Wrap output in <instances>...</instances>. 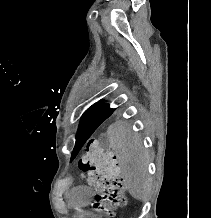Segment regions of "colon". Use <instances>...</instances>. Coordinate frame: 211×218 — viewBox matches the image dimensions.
Returning a JSON list of instances; mask_svg holds the SVG:
<instances>
[{
    "label": "colon",
    "mask_w": 211,
    "mask_h": 218,
    "mask_svg": "<svg viewBox=\"0 0 211 218\" xmlns=\"http://www.w3.org/2000/svg\"><path fill=\"white\" fill-rule=\"evenodd\" d=\"M79 168L96 190L93 204L97 210L113 214L126 205L125 184L114 153L92 139L79 161Z\"/></svg>",
    "instance_id": "1"
}]
</instances>
